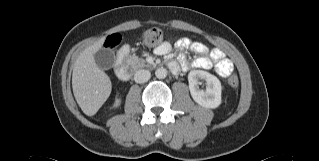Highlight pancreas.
<instances>
[{"label":"pancreas","mask_w":319,"mask_h":161,"mask_svg":"<svg viewBox=\"0 0 319 161\" xmlns=\"http://www.w3.org/2000/svg\"><path fill=\"white\" fill-rule=\"evenodd\" d=\"M128 63L134 68V69H139V68H144V67H149L148 64H146V61L143 58H139L136 55H131L128 58Z\"/></svg>","instance_id":"obj_1"}]
</instances>
